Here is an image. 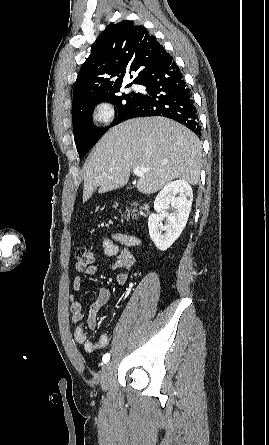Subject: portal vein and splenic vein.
I'll list each match as a JSON object with an SVG mask.
<instances>
[{"instance_id": "portal-vein-and-splenic-vein-1", "label": "portal vein and splenic vein", "mask_w": 269, "mask_h": 445, "mask_svg": "<svg viewBox=\"0 0 269 445\" xmlns=\"http://www.w3.org/2000/svg\"><path fill=\"white\" fill-rule=\"evenodd\" d=\"M149 170H150L149 168L137 167L134 169V174L136 176H143V174Z\"/></svg>"}]
</instances>
